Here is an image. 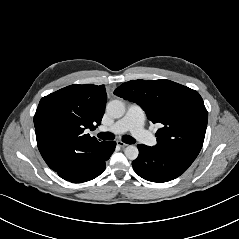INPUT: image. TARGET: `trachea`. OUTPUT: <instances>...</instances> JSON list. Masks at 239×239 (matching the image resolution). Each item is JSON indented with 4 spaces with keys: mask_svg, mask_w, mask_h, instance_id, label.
Instances as JSON below:
<instances>
[{
    "mask_svg": "<svg viewBox=\"0 0 239 239\" xmlns=\"http://www.w3.org/2000/svg\"><path fill=\"white\" fill-rule=\"evenodd\" d=\"M102 140H113L115 138L114 134L110 132H101L97 135ZM122 141L127 144H134L136 140L130 135H124Z\"/></svg>",
    "mask_w": 239,
    "mask_h": 239,
    "instance_id": "trachea-1",
    "label": "trachea"
}]
</instances>
